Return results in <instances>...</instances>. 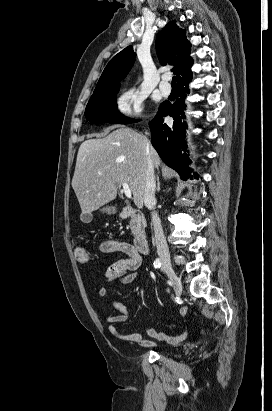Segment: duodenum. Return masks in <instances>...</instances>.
Masks as SVG:
<instances>
[{
	"label": "duodenum",
	"instance_id": "duodenum-1",
	"mask_svg": "<svg viewBox=\"0 0 272 411\" xmlns=\"http://www.w3.org/2000/svg\"><path fill=\"white\" fill-rule=\"evenodd\" d=\"M135 215V210L131 207H124L120 210V218H129ZM134 248L141 253L146 254L148 252V239L147 235L143 232H137L133 237Z\"/></svg>",
	"mask_w": 272,
	"mask_h": 411
}]
</instances>
